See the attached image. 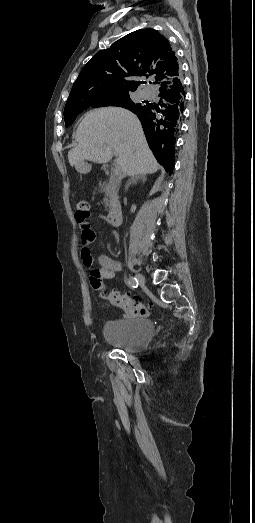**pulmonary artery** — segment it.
I'll use <instances>...</instances> for the list:
<instances>
[{
    "label": "pulmonary artery",
    "mask_w": 255,
    "mask_h": 523,
    "mask_svg": "<svg viewBox=\"0 0 255 523\" xmlns=\"http://www.w3.org/2000/svg\"><path fill=\"white\" fill-rule=\"evenodd\" d=\"M153 94H154V90L144 89V90L141 91V96L144 99L150 98Z\"/></svg>",
    "instance_id": "obj_1"
}]
</instances>
